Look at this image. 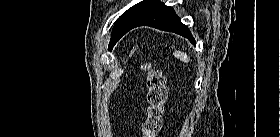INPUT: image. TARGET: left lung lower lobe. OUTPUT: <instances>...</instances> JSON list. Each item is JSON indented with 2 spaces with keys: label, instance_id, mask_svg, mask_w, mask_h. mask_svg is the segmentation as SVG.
I'll return each instance as SVG.
<instances>
[{
  "label": "left lung lower lobe",
  "instance_id": "1",
  "mask_svg": "<svg viewBox=\"0 0 280 137\" xmlns=\"http://www.w3.org/2000/svg\"><path fill=\"white\" fill-rule=\"evenodd\" d=\"M138 26H150L164 31L174 32L188 38L190 42L195 44V40L192 37L190 30L187 26L181 23V20L176 15L174 9L166 6L162 2H160L158 6L145 15L140 21L132 25L126 33Z\"/></svg>",
  "mask_w": 280,
  "mask_h": 137
}]
</instances>
